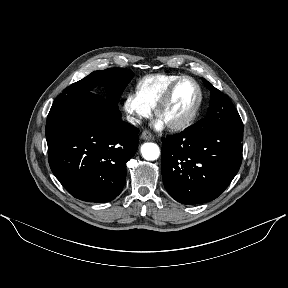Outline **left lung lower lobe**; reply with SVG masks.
<instances>
[{
  "label": "left lung lower lobe",
  "instance_id": "1",
  "mask_svg": "<svg viewBox=\"0 0 288 288\" xmlns=\"http://www.w3.org/2000/svg\"><path fill=\"white\" fill-rule=\"evenodd\" d=\"M242 140L199 121L162 139V177L167 192L183 204L217 198L231 183L242 161Z\"/></svg>",
  "mask_w": 288,
  "mask_h": 288
}]
</instances>
